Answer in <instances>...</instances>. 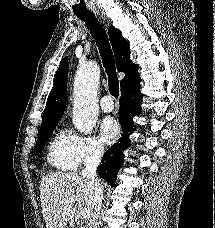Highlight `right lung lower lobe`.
Instances as JSON below:
<instances>
[{
    "instance_id": "obj_1",
    "label": "right lung lower lobe",
    "mask_w": 215,
    "mask_h": 228,
    "mask_svg": "<svg viewBox=\"0 0 215 228\" xmlns=\"http://www.w3.org/2000/svg\"><path fill=\"white\" fill-rule=\"evenodd\" d=\"M140 81L139 74L133 75L127 78L121 87L119 122L123 135L117 143L106 151L101 161L102 164L97 168L101 178L111 186H115L117 173L124 162L122 150L126 149L131 143L129 136L134 128L133 116L141 113L142 94L140 92Z\"/></svg>"
}]
</instances>
